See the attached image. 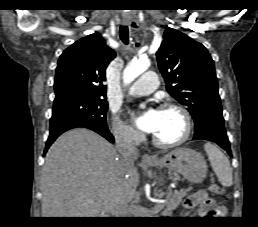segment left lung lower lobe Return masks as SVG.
<instances>
[{"instance_id":"left-lung-lower-lobe-1","label":"left lung lower lobe","mask_w":258,"mask_h":227,"mask_svg":"<svg viewBox=\"0 0 258 227\" xmlns=\"http://www.w3.org/2000/svg\"><path fill=\"white\" fill-rule=\"evenodd\" d=\"M193 139L194 140L204 139V140L215 142L220 147H222L230 156H232L230 143L226 134V130L224 125L222 124L208 125L201 132L194 134Z\"/></svg>"}]
</instances>
